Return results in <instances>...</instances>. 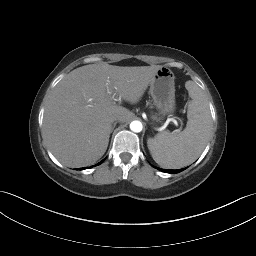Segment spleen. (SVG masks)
<instances>
[{"instance_id":"obj_1","label":"spleen","mask_w":256,"mask_h":256,"mask_svg":"<svg viewBox=\"0 0 256 256\" xmlns=\"http://www.w3.org/2000/svg\"><path fill=\"white\" fill-rule=\"evenodd\" d=\"M191 101L188 103L186 128L179 134L164 131L147 141L154 161L168 169H178L193 163L204 150L212 128L208 100L193 82L185 84Z\"/></svg>"}]
</instances>
